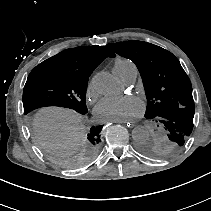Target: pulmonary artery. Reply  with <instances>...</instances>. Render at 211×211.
I'll return each instance as SVG.
<instances>
[{"label": "pulmonary artery", "mask_w": 211, "mask_h": 211, "mask_svg": "<svg viewBox=\"0 0 211 211\" xmlns=\"http://www.w3.org/2000/svg\"><path fill=\"white\" fill-rule=\"evenodd\" d=\"M136 77H137V70H134V71L128 73L127 75H125L122 78V81L125 84H131V83H133L136 80Z\"/></svg>", "instance_id": "e3ab8cb5"}]
</instances>
